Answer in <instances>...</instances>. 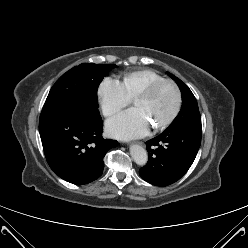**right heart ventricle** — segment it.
<instances>
[{
	"label": "right heart ventricle",
	"mask_w": 248,
	"mask_h": 248,
	"mask_svg": "<svg viewBox=\"0 0 248 248\" xmlns=\"http://www.w3.org/2000/svg\"><path fill=\"white\" fill-rule=\"evenodd\" d=\"M162 78L161 75L153 70L142 69L125 74L122 84L129 96L133 99L149 84Z\"/></svg>",
	"instance_id": "right-heart-ventricle-1"
}]
</instances>
